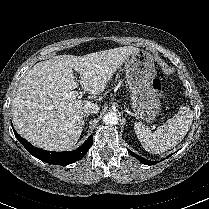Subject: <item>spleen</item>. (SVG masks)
I'll use <instances>...</instances> for the list:
<instances>
[{
    "label": "spleen",
    "mask_w": 209,
    "mask_h": 209,
    "mask_svg": "<svg viewBox=\"0 0 209 209\" xmlns=\"http://www.w3.org/2000/svg\"><path fill=\"white\" fill-rule=\"evenodd\" d=\"M193 113L187 106L180 107L173 118L167 120L154 132L141 122L134 124L135 133L143 148L153 154H160L180 143L190 129Z\"/></svg>",
    "instance_id": "1"
}]
</instances>
